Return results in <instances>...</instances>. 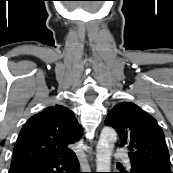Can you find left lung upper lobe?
Returning a JSON list of instances; mask_svg holds the SVG:
<instances>
[{"label":"left lung upper lobe","instance_id":"left-lung-upper-lobe-1","mask_svg":"<svg viewBox=\"0 0 173 173\" xmlns=\"http://www.w3.org/2000/svg\"><path fill=\"white\" fill-rule=\"evenodd\" d=\"M116 129L120 146L129 149L131 165L146 167L159 173H173L162 129L156 120L131 102L117 104L105 119Z\"/></svg>","mask_w":173,"mask_h":173}]
</instances>
